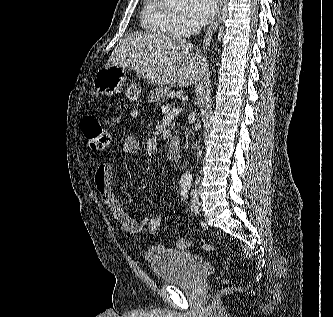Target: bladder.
Instances as JSON below:
<instances>
[{"instance_id":"bladder-1","label":"bladder","mask_w":333,"mask_h":317,"mask_svg":"<svg viewBox=\"0 0 333 317\" xmlns=\"http://www.w3.org/2000/svg\"><path fill=\"white\" fill-rule=\"evenodd\" d=\"M145 258L156 278L169 285L191 284L203 267L199 255L163 246L149 248Z\"/></svg>"}]
</instances>
